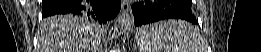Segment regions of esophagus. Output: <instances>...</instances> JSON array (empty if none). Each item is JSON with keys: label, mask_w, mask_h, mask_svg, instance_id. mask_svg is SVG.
<instances>
[{"label": "esophagus", "mask_w": 261, "mask_h": 52, "mask_svg": "<svg viewBox=\"0 0 261 52\" xmlns=\"http://www.w3.org/2000/svg\"><path fill=\"white\" fill-rule=\"evenodd\" d=\"M130 3L127 0L122 1L121 10L123 13H128L130 11Z\"/></svg>", "instance_id": "obj_1"}]
</instances>
